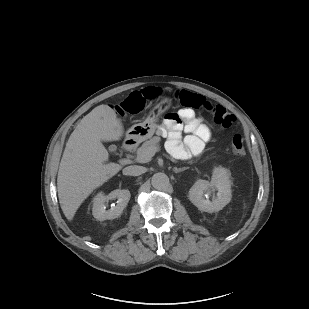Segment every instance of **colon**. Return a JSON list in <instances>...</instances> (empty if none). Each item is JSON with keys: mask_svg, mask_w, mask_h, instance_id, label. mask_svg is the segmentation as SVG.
Listing matches in <instances>:
<instances>
[{"mask_svg": "<svg viewBox=\"0 0 309 309\" xmlns=\"http://www.w3.org/2000/svg\"><path fill=\"white\" fill-rule=\"evenodd\" d=\"M159 90L157 88L148 89L145 94H132L126 98L120 104L114 106V109L119 115H136L140 113L146 104V102L152 101L159 96ZM179 103L186 108L194 110H202L209 115L213 121L223 128H230L235 118L230 114L226 108L221 105H216L208 101L202 95L193 93L191 91L181 89L176 93ZM232 152L237 156L245 154V142L244 138L240 134H235L231 141Z\"/></svg>", "mask_w": 309, "mask_h": 309, "instance_id": "5ec220e1", "label": "colon"}]
</instances>
